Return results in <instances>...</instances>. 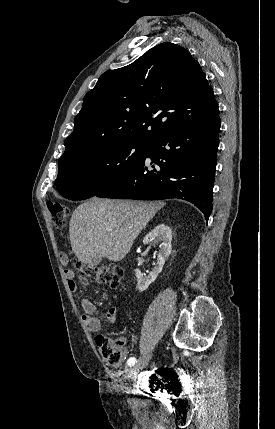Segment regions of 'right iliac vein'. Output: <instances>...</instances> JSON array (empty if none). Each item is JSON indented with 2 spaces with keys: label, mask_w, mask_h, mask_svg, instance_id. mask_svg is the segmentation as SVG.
<instances>
[{
  "label": "right iliac vein",
  "mask_w": 275,
  "mask_h": 429,
  "mask_svg": "<svg viewBox=\"0 0 275 429\" xmlns=\"http://www.w3.org/2000/svg\"><path fill=\"white\" fill-rule=\"evenodd\" d=\"M151 356H152L151 353L144 355L138 363H136L135 365H133V367L130 368L128 376L132 377L136 375L140 369L147 366L151 359Z\"/></svg>",
  "instance_id": "63e3f726"
}]
</instances>
